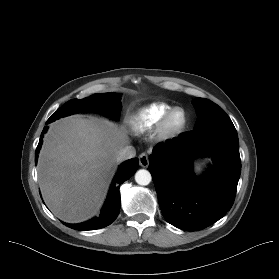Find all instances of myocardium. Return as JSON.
I'll return each instance as SVG.
<instances>
[{"label": "myocardium", "mask_w": 279, "mask_h": 279, "mask_svg": "<svg viewBox=\"0 0 279 279\" xmlns=\"http://www.w3.org/2000/svg\"><path fill=\"white\" fill-rule=\"evenodd\" d=\"M176 112H180L182 114V122L177 127H172L170 125V119ZM187 125L188 115L186 111L181 107H172L163 115L162 119L160 120L157 128V136L163 141L173 140L185 131Z\"/></svg>", "instance_id": "1"}]
</instances>
